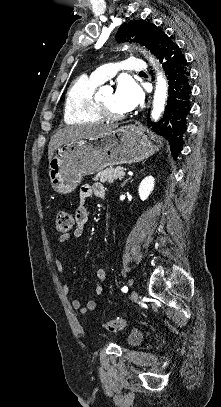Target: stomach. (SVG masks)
Instances as JSON below:
<instances>
[{"instance_id": "stomach-1", "label": "stomach", "mask_w": 221, "mask_h": 407, "mask_svg": "<svg viewBox=\"0 0 221 407\" xmlns=\"http://www.w3.org/2000/svg\"><path fill=\"white\" fill-rule=\"evenodd\" d=\"M159 142V140H157ZM142 126L127 125L93 138L69 141L58 147L49 161V177L55 192L67 194L85 175L122 163H136L158 151Z\"/></svg>"}]
</instances>
